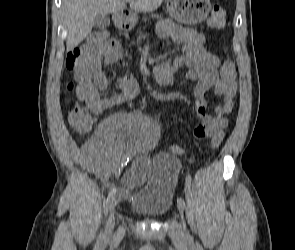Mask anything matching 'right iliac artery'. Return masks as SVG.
Returning <instances> with one entry per match:
<instances>
[{
  "label": "right iliac artery",
  "mask_w": 295,
  "mask_h": 250,
  "mask_svg": "<svg viewBox=\"0 0 295 250\" xmlns=\"http://www.w3.org/2000/svg\"><path fill=\"white\" fill-rule=\"evenodd\" d=\"M115 193H116V189L113 188V189H111V191L108 194L107 200L105 202V215L108 214V211L111 208V205H112L113 200H114V197H115ZM103 239H104V234L101 232L100 235H99V237H98V240L100 242H102Z\"/></svg>",
  "instance_id": "right-iliac-artery-1"
}]
</instances>
